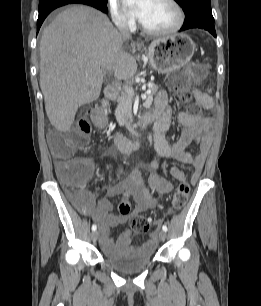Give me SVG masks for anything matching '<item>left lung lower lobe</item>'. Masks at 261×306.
Here are the masks:
<instances>
[{
  "label": "left lung lower lobe",
  "instance_id": "left-lung-lower-lobe-1",
  "mask_svg": "<svg viewBox=\"0 0 261 306\" xmlns=\"http://www.w3.org/2000/svg\"><path fill=\"white\" fill-rule=\"evenodd\" d=\"M191 28L205 29L209 31L214 37H216L213 16H209L202 13L186 16V19L180 31H184Z\"/></svg>",
  "mask_w": 261,
  "mask_h": 306
}]
</instances>
